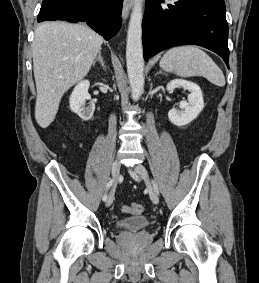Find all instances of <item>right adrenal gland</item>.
<instances>
[{
  "instance_id": "2a0ac1e0",
  "label": "right adrenal gland",
  "mask_w": 259,
  "mask_h": 283,
  "mask_svg": "<svg viewBox=\"0 0 259 283\" xmlns=\"http://www.w3.org/2000/svg\"><path fill=\"white\" fill-rule=\"evenodd\" d=\"M95 62H99L104 70H106V66L104 64L103 58L101 56V51L98 53V57L95 59Z\"/></svg>"
}]
</instances>
